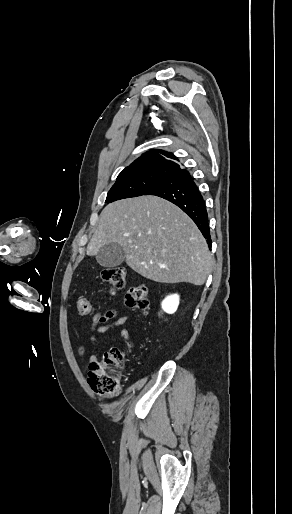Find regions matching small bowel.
I'll return each instance as SVG.
<instances>
[{
    "label": "small bowel",
    "mask_w": 292,
    "mask_h": 514,
    "mask_svg": "<svg viewBox=\"0 0 292 514\" xmlns=\"http://www.w3.org/2000/svg\"><path fill=\"white\" fill-rule=\"evenodd\" d=\"M129 322V317L120 316L119 311L115 308H103L98 310L91 322L90 326V342L91 344L97 343L104 334L111 329H114L116 334L124 341L131 342L133 340L131 333L125 325ZM86 354V349L83 344L78 346V355L80 360L83 361ZM89 365L94 367L97 365L96 355L92 353L89 357Z\"/></svg>",
    "instance_id": "small-bowel-1"
}]
</instances>
